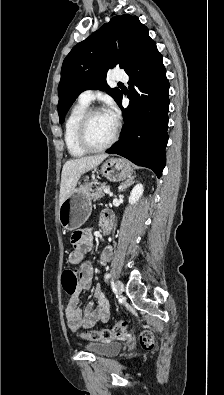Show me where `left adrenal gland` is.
<instances>
[{
  "label": "left adrenal gland",
  "instance_id": "1",
  "mask_svg": "<svg viewBox=\"0 0 224 395\" xmlns=\"http://www.w3.org/2000/svg\"><path fill=\"white\" fill-rule=\"evenodd\" d=\"M136 177V175L129 177L122 186L119 187V192L124 191L127 187H129L130 185H132L134 183V178Z\"/></svg>",
  "mask_w": 224,
  "mask_h": 395
}]
</instances>
